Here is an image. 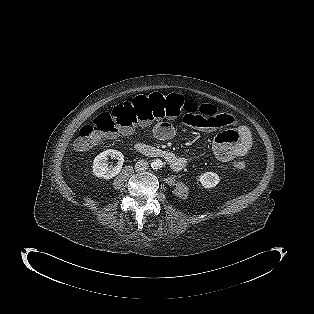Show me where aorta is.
Wrapping results in <instances>:
<instances>
[{"label":"aorta","instance_id":"762f6f07","mask_svg":"<svg viewBox=\"0 0 314 314\" xmlns=\"http://www.w3.org/2000/svg\"><path fill=\"white\" fill-rule=\"evenodd\" d=\"M151 166L153 169H159L163 166V162L161 159H156L152 162Z\"/></svg>","mask_w":314,"mask_h":314}]
</instances>
